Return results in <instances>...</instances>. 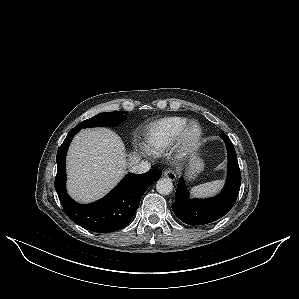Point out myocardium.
Returning <instances> with one entry per match:
<instances>
[{"label":"myocardium","mask_w":299,"mask_h":299,"mask_svg":"<svg viewBox=\"0 0 299 299\" xmlns=\"http://www.w3.org/2000/svg\"><path fill=\"white\" fill-rule=\"evenodd\" d=\"M203 137V130L197 121L189 122L181 131L174 145V153L178 160L191 157L198 150Z\"/></svg>","instance_id":"myocardium-1"}]
</instances>
